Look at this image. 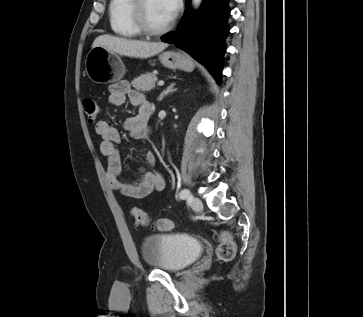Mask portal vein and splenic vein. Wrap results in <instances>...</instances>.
<instances>
[{"instance_id": "portal-vein-and-splenic-vein-1", "label": "portal vein and splenic vein", "mask_w": 363, "mask_h": 317, "mask_svg": "<svg viewBox=\"0 0 363 317\" xmlns=\"http://www.w3.org/2000/svg\"><path fill=\"white\" fill-rule=\"evenodd\" d=\"M164 85V81H159L158 82V86H163Z\"/></svg>"}]
</instances>
